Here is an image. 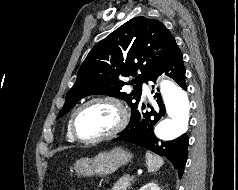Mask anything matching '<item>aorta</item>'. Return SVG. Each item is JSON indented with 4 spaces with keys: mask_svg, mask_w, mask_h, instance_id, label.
I'll return each mask as SVG.
<instances>
[{
    "mask_svg": "<svg viewBox=\"0 0 238 190\" xmlns=\"http://www.w3.org/2000/svg\"><path fill=\"white\" fill-rule=\"evenodd\" d=\"M160 90L168 117L157 124L155 135L160 140L171 141L188 128L190 101L187 92L172 81L164 80Z\"/></svg>",
    "mask_w": 238,
    "mask_h": 190,
    "instance_id": "aorta-1",
    "label": "aorta"
}]
</instances>
